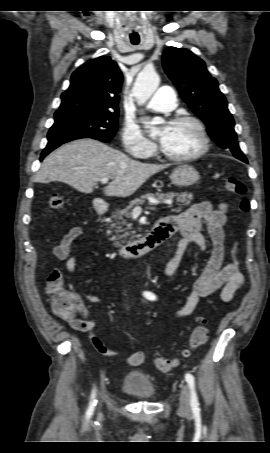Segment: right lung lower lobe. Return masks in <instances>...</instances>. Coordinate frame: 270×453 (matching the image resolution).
<instances>
[{"label":"right lung lower lobe","mask_w":270,"mask_h":453,"mask_svg":"<svg viewBox=\"0 0 270 453\" xmlns=\"http://www.w3.org/2000/svg\"><path fill=\"white\" fill-rule=\"evenodd\" d=\"M63 143H66L64 141H60V140H51V141H48V144L46 146V148L42 151L41 153V157H40V161L43 160V158L48 155L52 150H54L55 148H57L58 146H60L61 144Z\"/></svg>","instance_id":"right-lung-lower-lobe-1"}]
</instances>
